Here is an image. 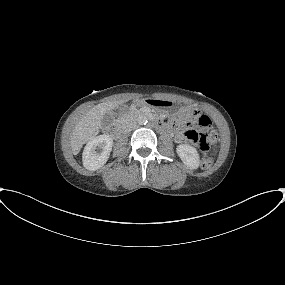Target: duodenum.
<instances>
[{
  "label": "duodenum",
  "instance_id": "410a0bca",
  "mask_svg": "<svg viewBox=\"0 0 285 285\" xmlns=\"http://www.w3.org/2000/svg\"><path fill=\"white\" fill-rule=\"evenodd\" d=\"M157 124L159 127L161 128H164V129H170V123L167 119L165 118H162V119H158L157 120ZM110 133L114 134V135H120L121 132H122V126L117 124V123H114L110 126V129H109Z\"/></svg>",
  "mask_w": 285,
  "mask_h": 285
}]
</instances>
